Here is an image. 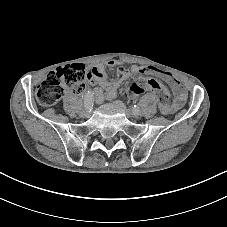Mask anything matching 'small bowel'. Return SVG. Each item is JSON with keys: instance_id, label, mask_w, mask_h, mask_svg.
Listing matches in <instances>:
<instances>
[{"instance_id": "c3829d8e", "label": "small bowel", "mask_w": 227, "mask_h": 227, "mask_svg": "<svg viewBox=\"0 0 227 227\" xmlns=\"http://www.w3.org/2000/svg\"><path fill=\"white\" fill-rule=\"evenodd\" d=\"M105 67H117L120 73V78L117 81H108L106 79ZM151 73L164 80L174 93V100L167 105H160V109L164 114H171L177 111L186 100V91L181 83L168 71L160 70L155 67H143L132 65L130 68H125L120 61L108 60L102 64L92 66L87 70V80L92 86L93 98L97 102L104 100H112L116 95L118 87L127 79L134 75ZM99 85L101 88H98Z\"/></svg>"}]
</instances>
